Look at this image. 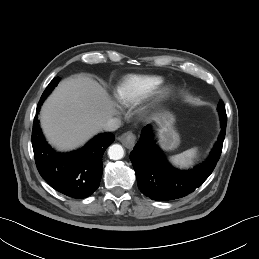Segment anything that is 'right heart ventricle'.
<instances>
[{"mask_svg":"<svg viewBox=\"0 0 259 259\" xmlns=\"http://www.w3.org/2000/svg\"><path fill=\"white\" fill-rule=\"evenodd\" d=\"M164 83L158 76L131 75L125 78L116 91L121 104L129 105L141 96L154 91Z\"/></svg>","mask_w":259,"mask_h":259,"instance_id":"1","label":"right heart ventricle"}]
</instances>
